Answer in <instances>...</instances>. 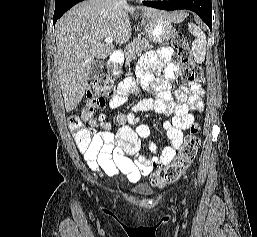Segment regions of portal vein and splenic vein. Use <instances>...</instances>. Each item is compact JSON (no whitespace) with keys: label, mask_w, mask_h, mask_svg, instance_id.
Instances as JSON below:
<instances>
[{"label":"portal vein and splenic vein","mask_w":257,"mask_h":237,"mask_svg":"<svg viewBox=\"0 0 257 237\" xmlns=\"http://www.w3.org/2000/svg\"><path fill=\"white\" fill-rule=\"evenodd\" d=\"M104 41H105V43L109 44V43L113 42V38L112 37H106Z\"/></svg>","instance_id":"portal-vein-and-splenic-vein-1"}]
</instances>
